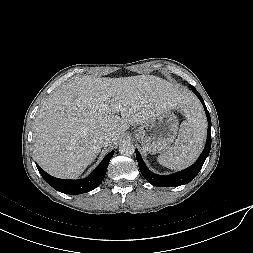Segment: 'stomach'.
I'll return each mask as SVG.
<instances>
[{"instance_id":"obj_1","label":"stomach","mask_w":253,"mask_h":253,"mask_svg":"<svg viewBox=\"0 0 253 253\" xmlns=\"http://www.w3.org/2000/svg\"><path fill=\"white\" fill-rule=\"evenodd\" d=\"M177 131V117L170 110H166L142 124L135 131V137L144 150L155 154L168 150L176 138Z\"/></svg>"}]
</instances>
